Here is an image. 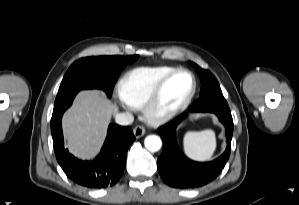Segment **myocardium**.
<instances>
[{
    "instance_id": "f54148a6",
    "label": "myocardium",
    "mask_w": 299,
    "mask_h": 205,
    "mask_svg": "<svg viewBox=\"0 0 299 205\" xmlns=\"http://www.w3.org/2000/svg\"><path fill=\"white\" fill-rule=\"evenodd\" d=\"M187 74L191 79V89L188 95L176 106L163 109L161 108V99L167 85L178 75ZM196 78L193 73L187 69H176L156 86L151 96L143 107L146 120L152 125H160L179 115L192 101L196 93Z\"/></svg>"
}]
</instances>
